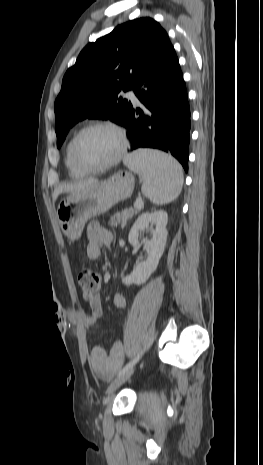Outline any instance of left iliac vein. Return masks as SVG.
I'll return each instance as SVG.
<instances>
[{
	"label": "left iliac vein",
	"mask_w": 263,
	"mask_h": 465,
	"mask_svg": "<svg viewBox=\"0 0 263 465\" xmlns=\"http://www.w3.org/2000/svg\"><path fill=\"white\" fill-rule=\"evenodd\" d=\"M135 367H131L127 372L120 375L116 378L108 387L107 394L110 395L113 393L117 388H119L123 383H125L131 375L134 373Z\"/></svg>",
	"instance_id": "1"
}]
</instances>
